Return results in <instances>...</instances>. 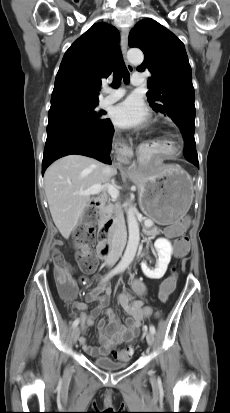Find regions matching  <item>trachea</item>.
I'll return each mask as SVG.
<instances>
[{
    "label": "trachea",
    "instance_id": "obj_1",
    "mask_svg": "<svg viewBox=\"0 0 230 413\" xmlns=\"http://www.w3.org/2000/svg\"><path fill=\"white\" fill-rule=\"evenodd\" d=\"M122 79L126 84H128L130 81V74L125 66L121 52L117 51L115 56V67L113 72L112 86L114 88L119 87Z\"/></svg>",
    "mask_w": 230,
    "mask_h": 413
}]
</instances>
